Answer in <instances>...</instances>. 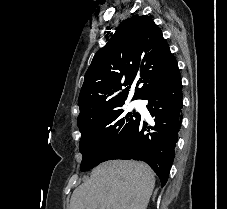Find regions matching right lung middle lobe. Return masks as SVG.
<instances>
[{
  "instance_id": "right-lung-middle-lobe-1",
  "label": "right lung middle lobe",
  "mask_w": 227,
  "mask_h": 209,
  "mask_svg": "<svg viewBox=\"0 0 227 209\" xmlns=\"http://www.w3.org/2000/svg\"><path fill=\"white\" fill-rule=\"evenodd\" d=\"M124 103L125 99H106L102 113L78 119L82 135L79 143L83 155L81 171H88L101 163L102 158L140 117L136 112L126 113Z\"/></svg>"
}]
</instances>
